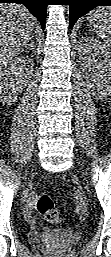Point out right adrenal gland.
Listing matches in <instances>:
<instances>
[{
    "mask_svg": "<svg viewBox=\"0 0 111 257\" xmlns=\"http://www.w3.org/2000/svg\"><path fill=\"white\" fill-rule=\"evenodd\" d=\"M30 47H31L32 49H34V39H33V36L31 37L30 42L28 43V45H27V47L25 48V50L28 51Z\"/></svg>",
    "mask_w": 111,
    "mask_h": 257,
    "instance_id": "right-adrenal-gland-1",
    "label": "right adrenal gland"
}]
</instances>
